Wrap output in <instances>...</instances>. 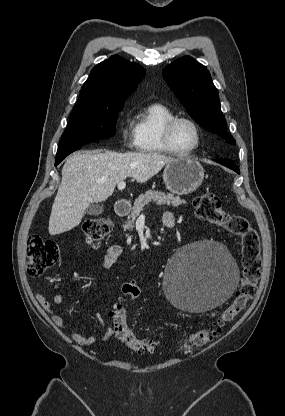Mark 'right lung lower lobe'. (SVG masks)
Instances as JSON below:
<instances>
[{
	"label": "right lung lower lobe",
	"instance_id": "1",
	"mask_svg": "<svg viewBox=\"0 0 285 416\" xmlns=\"http://www.w3.org/2000/svg\"><path fill=\"white\" fill-rule=\"evenodd\" d=\"M86 143L70 144L66 146H60L57 150L55 166H57L66 156L72 152L79 150L82 145Z\"/></svg>",
	"mask_w": 285,
	"mask_h": 416
}]
</instances>
